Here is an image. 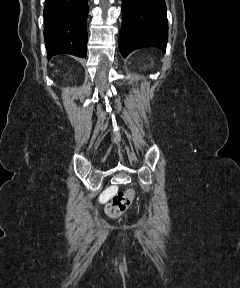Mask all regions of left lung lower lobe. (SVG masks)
Returning <instances> with one entry per match:
<instances>
[{
  "label": "left lung lower lobe",
  "instance_id": "obj_1",
  "mask_svg": "<svg viewBox=\"0 0 240 288\" xmlns=\"http://www.w3.org/2000/svg\"><path fill=\"white\" fill-rule=\"evenodd\" d=\"M119 50L126 57L143 47L165 51L168 35L165 0H122Z\"/></svg>",
  "mask_w": 240,
  "mask_h": 288
}]
</instances>
